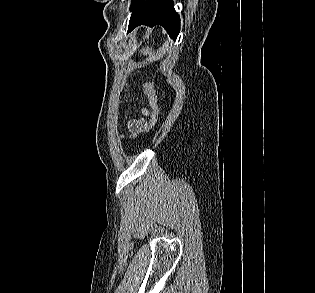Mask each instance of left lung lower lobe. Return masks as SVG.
<instances>
[{
  "label": "left lung lower lobe",
  "mask_w": 315,
  "mask_h": 293,
  "mask_svg": "<svg viewBox=\"0 0 315 293\" xmlns=\"http://www.w3.org/2000/svg\"><path fill=\"white\" fill-rule=\"evenodd\" d=\"M128 32L138 25L164 26L171 38L176 39L180 31V20L172 0H140L132 9Z\"/></svg>",
  "instance_id": "1"
}]
</instances>
